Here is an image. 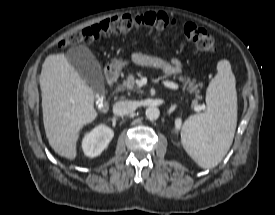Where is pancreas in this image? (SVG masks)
<instances>
[{"label":"pancreas","mask_w":275,"mask_h":215,"mask_svg":"<svg viewBox=\"0 0 275 215\" xmlns=\"http://www.w3.org/2000/svg\"><path fill=\"white\" fill-rule=\"evenodd\" d=\"M182 84L183 87L189 92V93H194L196 98L192 102V107H195L198 105V99L201 98L199 95L200 88H202V84L199 83L197 84L195 80H191L189 77L185 76H179L177 78ZM135 87V77L134 75L130 74L128 75L127 79L123 81L122 83V88H128V89H134Z\"/></svg>","instance_id":"1"}]
</instances>
